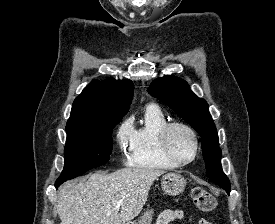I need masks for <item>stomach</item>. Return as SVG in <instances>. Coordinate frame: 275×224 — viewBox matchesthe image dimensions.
<instances>
[{
	"label": "stomach",
	"instance_id": "1",
	"mask_svg": "<svg viewBox=\"0 0 275 224\" xmlns=\"http://www.w3.org/2000/svg\"><path fill=\"white\" fill-rule=\"evenodd\" d=\"M186 180L179 174L168 173L161 178V188L164 194L177 196L184 192ZM153 210L147 209L138 221H131L127 224H151L153 220Z\"/></svg>",
	"mask_w": 275,
	"mask_h": 224
}]
</instances>
